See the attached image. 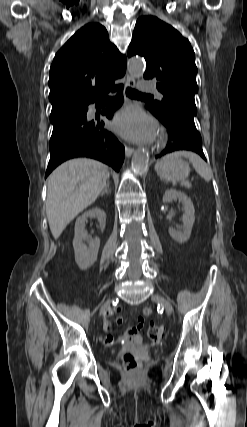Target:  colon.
<instances>
[{
	"instance_id": "5ec220e1",
	"label": "colon",
	"mask_w": 247,
	"mask_h": 427,
	"mask_svg": "<svg viewBox=\"0 0 247 427\" xmlns=\"http://www.w3.org/2000/svg\"><path fill=\"white\" fill-rule=\"evenodd\" d=\"M146 333H147V336L152 341H155V342L161 341L165 336L164 329L156 325H150L147 328ZM140 363H141L140 358L132 352H126L123 355V364L125 368L130 372L137 370L138 367L140 366Z\"/></svg>"
}]
</instances>
